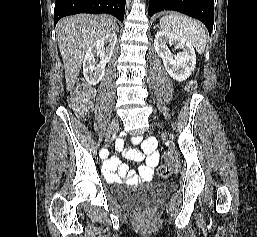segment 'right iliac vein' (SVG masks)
Returning <instances> with one entry per match:
<instances>
[{
  "mask_svg": "<svg viewBox=\"0 0 257 237\" xmlns=\"http://www.w3.org/2000/svg\"><path fill=\"white\" fill-rule=\"evenodd\" d=\"M115 126H116V124H114V125L110 128L109 133H108V135H107V138H108V139H110L112 133L114 132Z\"/></svg>",
  "mask_w": 257,
  "mask_h": 237,
  "instance_id": "1",
  "label": "right iliac vein"
}]
</instances>
